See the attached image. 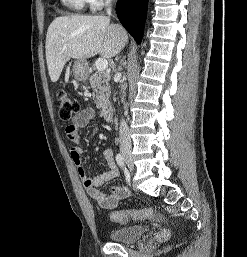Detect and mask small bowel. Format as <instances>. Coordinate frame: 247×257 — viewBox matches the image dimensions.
Instances as JSON below:
<instances>
[{
  "instance_id": "1",
  "label": "small bowel",
  "mask_w": 247,
  "mask_h": 257,
  "mask_svg": "<svg viewBox=\"0 0 247 257\" xmlns=\"http://www.w3.org/2000/svg\"><path fill=\"white\" fill-rule=\"evenodd\" d=\"M94 116L95 112L92 108L83 109L74 116L72 123L66 127V136L76 144L70 149V157L77 167L78 175L81 178L88 195L100 207L112 209L117 205L118 201L127 198L130 195V191L125 186H114L112 187L111 192L107 194L102 193L99 190L100 186L118 176L114 153L111 149H105L102 153L103 159L107 164L106 171L95 178L87 176L82 160L83 148L80 145V131L88 125Z\"/></svg>"
}]
</instances>
